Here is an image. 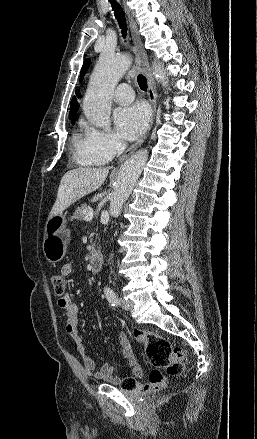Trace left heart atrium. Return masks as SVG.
I'll use <instances>...</instances> for the list:
<instances>
[{
	"label": "left heart atrium",
	"mask_w": 257,
	"mask_h": 439,
	"mask_svg": "<svg viewBox=\"0 0 257 439\" xmlns=\"http://www.w3.org/2000/svg\"><path fill=\"white\" fill-rule=\"evenodd\" d=\"M122 135L132 139L140 135L149 122V109L141 102L118 108L114 114Z\"/></svg>",
	"instance_id": "39dd6f15"
}]
</instances>
